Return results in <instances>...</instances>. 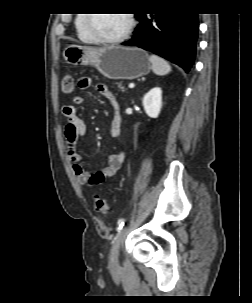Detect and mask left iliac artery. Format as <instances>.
Here are the masks:
<instances>
[{
    "label": "left iliac artery",
    "mask_w": 252,
    "mask_h": 303,
    "mask_svg": "<svg viewBox=\"0 0 252 303\" xmlns=\"http://www.w3.org/2000/svg\"><path fill=\"white\" fill-rule=\"evenodd\" d=\"M124 222H125V219L123 218H120L118 220V227H117V231L120 232V230L122 229V227L124 226Z\"/></svg>",
    "instance_id": "44dca946"
}]
</instances>
